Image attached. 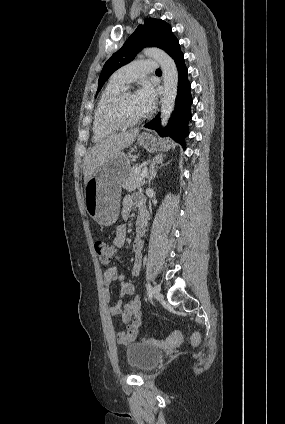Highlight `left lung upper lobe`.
<instances>
[{"mask_svg":"<svg viewBox=\"0 0 285 424\" xmlns=\"http://www.w3.org/2000/svg\"><path fill=\"white\" fill-rule=\"evenodd\" d=\"M177 40L171 27L163 20L148 18L139 25L124 45L105 63L98 81L97 93L106 80L120 67L131 62L143 47H158L166 53Z\"/></svg>","mask_w":285,"mask_h":424,"instance_id":"obj_1","label":"left lung upper lobe"}]
</instances>
